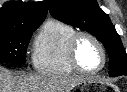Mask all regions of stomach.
Wrapping results in <instances>:
<instances>
[{
  "label": "stomach",
  "mask_w": 127,
  "mask_h": 92,
  "mask_svg": "<svg viewBox=\"0 0 127 92\" xmlns=\"http://www.w3.org/2000/svg\"><path fill=\"white\" fill-rule=\"evenodd\" d=\"M93 81L92 80H84L82 83H80L78 85V89L80 91H85V90H89L93 85H92Z\"/></svg>",
  "instance_id": "stomach-1"
}]
</instances>
